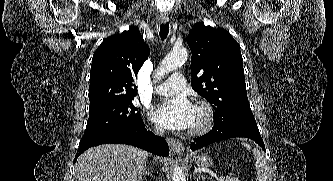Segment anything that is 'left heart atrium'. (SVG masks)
I'll list each match as a JSON object with an SVG mask.
<instances>
[{"mask_svg":"<svg viewBox=\"0 0 333 181\" xmlns=\"http://www.w3.org/2000/svg\"><path fill=\"white\" fill-rule=\"evenodd\" d=\"M151 119L167 129H186L194 122V106L186 97L177 96L159 103L152 111Z\"/></svg>","mask_w":333,"mask_h":181,"instance_id":"39dd6f15","label":"left heart atrium"}]
</instances>
